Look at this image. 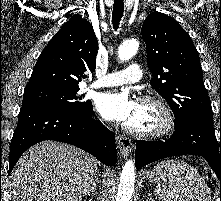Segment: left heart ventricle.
<instances>
[{"instance_id":"obj_1","label":"left heart ventricle","mask_w":221,"mask_h":201,"mask_svg":"<svg viewBox=\"0 0 221 201\" xmlns=\"http://www.w3.org/2000/svg\"><path fill=\"white\" fill-rule=\"evenodd\" d=\"M160 115L158 110L150 104H137V112L128 125L142 130H150L158 127Z\"/></svg>"}]
</instances>
